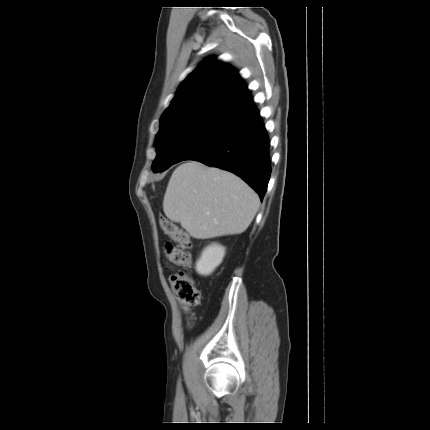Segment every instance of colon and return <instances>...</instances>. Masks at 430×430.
Listing matches in <instances>:
<instances>
[{"instance_id":"1","label":"colon","mask_w":430,"mask_h":430,"mask_svg":"<svg viewBox=\"0 0 430 430\" xmlns=\"http://www.w3.org/2000/svg\"><path fill=\"white\" fill-rule=\"evenodd\" d=\"M159 223L163 232L171 239L165 245V257L171 263L181 267L178 272L170 276V282L178 302L189 313L188 322H192L193 316L190 309L200 302V291L188 272L191 264L189 249L192 247V241L186 232L165 217H161Z\"/></svg>"}]
</instances>
